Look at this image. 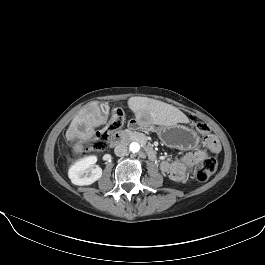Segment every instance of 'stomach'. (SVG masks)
<instances>
[{
    "mask_svg": "<svg viewBox=\"0 0 265 265\" xmlns=\"http://www.w3.org/2000/svg\"><path fill=\"white\" fill-rule=\"evenodd\" d=\"M142 129L156 132L160 140L167 146L178 149H192L198 144L199 138L195 131L183 125L159 126L138 121Z\"/></svg>",
    "mask_w": 265,
    "mask_h": 265,
    "instance_id": "stomach-1",
    "label": "stomach"
}]
</instances>
